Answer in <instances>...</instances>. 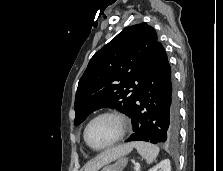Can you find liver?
<instances>
[{
    "label": "liver",
    "instance_id": "liver-1",
    "mask_svg": "<svg viewBox=\"0 0 223 171\" xmlns=\"http://www.w3.org/2000/svg\"><path fill=\"white\" fill-rule=\"evenodd\" d=\"M132 149H133V144L127 143L105 150L104 152L99 154L96 158L89 161L84 166V171H98L102 166L130 153Z\"/></svg>",
    "mask_w": 223,
    "mask_h": 171
}]
</instances>
